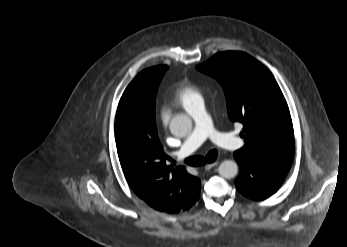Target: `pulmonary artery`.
I'll list each match as a JSON object with an SVG mask.
<instances>
[{
    "label": "pulmonary artery",
    "instance_id": "e3ab8cb5",
    "mask_svg": "<svg viewBox=\"0 0 347 247\" xmlns=\"http://www.w3.org/2000/svg\"><path fill=\"white\" fill-rule=\"evenodd\" d=\"M187 112L193 118L195 126L177 152L179 158L186 157L193 153L207 139H210L217 146L229 150L238 149L243 145V141L240 138L229 133L217 132L213 128L202 98L194 101L187 109Z\"/></svg>",
    "mask_w": 347,
    "mask_h": 247
}]
</instances>
